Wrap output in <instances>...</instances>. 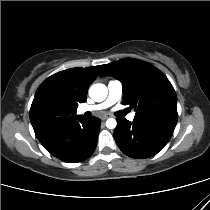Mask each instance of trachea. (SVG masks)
I'll use <instances>...</instances> for the list:
<instances>
[{"mask_svg": "<svg viewBox=\"0 0 210 210\" xmlns=\"http://www.w3.org/2000/svg\"><path fill=\"white\" fill-rule=\"evenodd\" d=\"M118 114H119L120 116H124L125 114H127V111H126V110H123V111H120Z\"/></svg>", "mask_w": 210, "mask_h": 210, "instance_id": "trachea-1", "label": "trachea"}]
</instances>
